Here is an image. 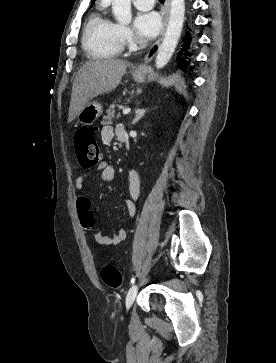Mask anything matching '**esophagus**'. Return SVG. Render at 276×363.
<instances>
[{"label":"esophagus","instance_id":"obj_1","mask_svg":"<svg viewBox=\"0 0 276 363\" xmlns=\"http://www.w3.org/2000/svg\"><path fill=\"white\" fill-rule=\"evenodd\" d=\"M169 10H170V0H165V4L163 6V21H162V26H161L159 37H158L157 41L150 48L147 55L145 56L144 65L136 70L137 73H143L145 70L146 64H148L153 59L155 54L157 53L160 43L164 36V32H165V28H166L168 16H169Z\"/></svg>","mask_w":276,"mask_h":363}]
</instances>
